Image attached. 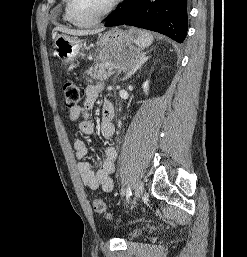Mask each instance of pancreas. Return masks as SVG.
Wrapping results in <instances>:
<instances>
[{"label":"pancreas","instance_id":"pancreas-1","mask_svg":"<svg viewBox=\"0 0 247 257\" xmlns=\"http://www.w3.org/2000/svg\"><path fill=\"white\" fill-rule=\"evenodd\" d=\"M113 66L108 62L96 63L87 70V74L95 80H106L112 75Z\"/></svg>","mask_w":247,"mask_h":257}]
</instances>
